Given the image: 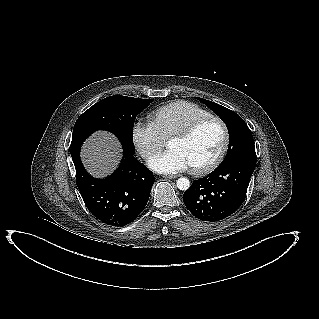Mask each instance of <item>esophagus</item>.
I'll return each instance as SVG.
<instances>
[{
	"mask_svg": "<svg viewBox=\"0 0 319 319\" xmlns=\"http://www.w3.org/2000/svg\"><path fill=\"white\" fill-rule=\"evenodd\" d=\"M164 178H167V179H174V178H177L178 176L177 175H163Z\"/></svg>",
	"mask_w": 319,
	"mask_h": 319,
	"instance_id": "34e87169",
	"label": "esophagus"
}]
</instances>
